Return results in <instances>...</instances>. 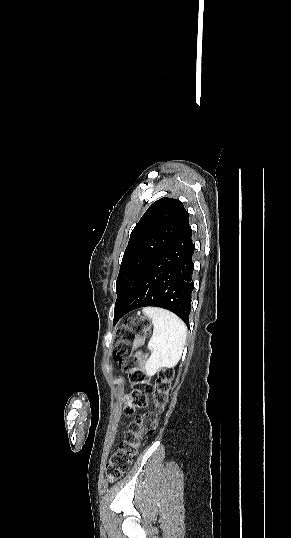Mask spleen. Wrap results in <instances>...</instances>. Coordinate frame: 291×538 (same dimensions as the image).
<instances>
[{
	"mask_svg": "<svg viewBox=\"0 0 291 538\" xmlns=\"http://www.w3.org/2000/svg\"><path fill=\"white\" fill-rule=\"evenodd\" d=\"M143 312L152 319L154 325L148 342L151 356L145 364L146 373L151 376L163 367H174L178 363L186 342L187 327L168 310L146 307Z\"/></svg>",
	"mask_w": 291,
	"mask_h": 538,
	"instance_id": "spleen-1",
	"label": "spleen"
}]
</instances>
